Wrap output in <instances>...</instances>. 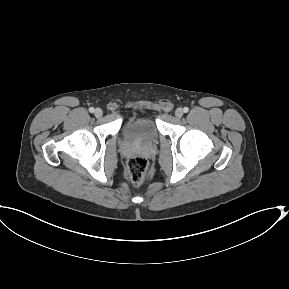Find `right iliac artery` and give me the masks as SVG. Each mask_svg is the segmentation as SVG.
<instances>
[{"label":"right iliac artery","mask_w":289,"mask_h":289,"mask_svg":"<svg viewBox=\"0 0 289 289\" xmlns=\"http://www.w3.org/2000/svg\"><path fill=\"white\" fill-rule=\"evenodd\" d=\"M89 112L93 113V112H94V108H93V107H90V108H89Z\"/></svg>","instance_id":"obj_1"}]
</instances>
